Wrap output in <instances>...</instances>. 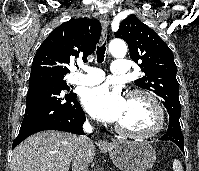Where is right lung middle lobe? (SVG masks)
Wrapping results in <instances>:
<instances>
[{
  "mask_svg": "<svg viewBox=\"0 0 199 171\" xmlns=\"http://www.w3.org/2000/svg\"><path fill=\"white\" fill-rule=\"evenodd\" d=\"M64 77L60 76H53V75H37V76H30L29 82L37 81V80H49L57 83L62 89L68 90V85L63 80Z\"/></svg>",
  "mask_w": 199,
  "mask_h": 171,
  "instance_id": "right-lung-middle-lobe-1",
  "label": "right lung middle lobe"
}]
</instances>
